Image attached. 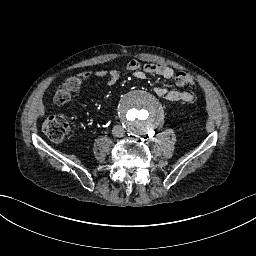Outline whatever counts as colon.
<instances>
[{
	"instance_id": "5ec220e1",
	"label": "colon",
	"mask_w": 256,
	"mask_h": 256,
	"mask_svg": "<svg viewBox=\"0 0 256 256\" xmlns=\"http://www.w3.org/2000/svg\"><path fill=\"white\" fill-rule=\"evenodd\" d=\"M175 82L181 87H190L195 84L194 78L182 71L175 74ZM84 84L82 75H75L67 78L61 83L53 97V103L62 106L70 101V94L80 89ZM44 133L53 141H61L65 138L68 130V122L61 116H51L43 123Z\"/></svg>"
}]
</instances>
